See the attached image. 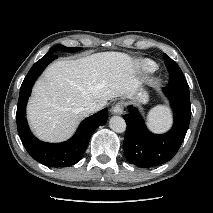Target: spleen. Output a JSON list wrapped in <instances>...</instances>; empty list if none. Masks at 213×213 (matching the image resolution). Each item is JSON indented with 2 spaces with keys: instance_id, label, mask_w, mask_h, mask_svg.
Returning a JSON list of instances; mask_svg holds the SVG:
<instances>
[{
  "instance_id": "3e777b00",
  "label": "spleen",
  "mask_w": 213,
  "mask_h": 213,
  "mask_svg": "<svg viewBox=\"0 0 213 213\" xmlns=\"http://www.w3.org/2000/svg\"><path fill=\"white\" fill-rule=\"evenodd\" d=\"M147 120L151 130L162 132L170 126L171 114L165 105H158L150 110Z\"/></svg>"
}]
</instances>
